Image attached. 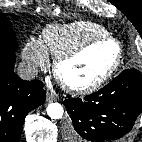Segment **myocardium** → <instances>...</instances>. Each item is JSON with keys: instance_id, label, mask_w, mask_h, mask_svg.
Instances as JSON below:
<instances>
[{"instance_id": "1", "label": "myocardium", "mask_w": 142, "mask_h": 142, "mask_svg": "<svg viewBox=\"0 0 142 142\" xmlns=\"http://www.w3.org/2000/svg\"><path fill=\"white\" fill-rule=\"evenodd\" d=\"M103 42H112L117 48V54L115 60L112 63V65L109 67V69L98 79L86 85H74L66 81L61 73L62 66L80 57L92 47L101 44ZM122 58H123V48L120 42L110 35H103L100 37L90 39L85 43H83L82 45H80L79 47L57 57L54 61L53 73L56 79L58 80V82L60 83V85L64 89L77 95H86L98 90L112 78V76L119 69L122 62Z\"/></svg>"}]
</instances>
